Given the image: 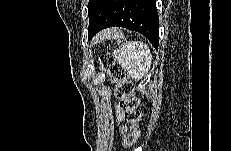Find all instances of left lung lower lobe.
<instances>
[{
  "label": "left lung lower lobe",
  "instance_id": "0a47b994",
  "mask_svg": "<svg viewBox=\"0 0 231 151\" xmlns=\"http://www.w3.org/2000/svg\"><path fill=\"white\" fill-rule=\"evenodd\" d=\"M112 26L138 31L158 49L159 16L155 0H111L97 26L88 32V40Z\"/></svg>",
  "mask_w": 231,
  "mask_h": 151
}]
</instances>
